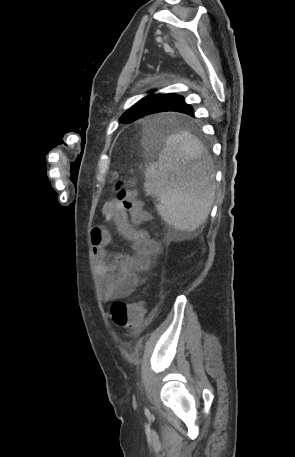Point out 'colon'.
<instances>
[{"label": "colon", "instance_id": "colon-1", "mask_svg": "<svg viewBox=\"0 0 295 457\" xmlns=\"http://www.w3.org/2000/svg\"><path fill=\"white\" fill-rule=\"evenodd\" d=\"M115 191L117 200L122 208L128 212L135 224H142L148 219V215L142 208L141 202L136 198L134 190L131 188V181H124L117 174L114 175ZM111 317L115 325L125 328L128 331L138 330L145 318L143 305L139 302L125 303L114 302L111 305Z\"/></svg>", "mask_w": 295, "mask_h": 457}]
</instances>
